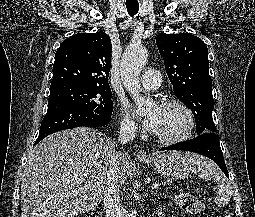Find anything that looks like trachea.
<instances>
[{
    "instance_id": "3493384b",
    "label": "trachea",
    "mask_w": 255,
    "mask_h": 217,
    "mask_svg": "<svg viewBox=\"0 0 255 217\" xmlns=\"http://www.w3.org/2000/svg\"><path fill=\"white\" fill-rule=\"evenodd\" d=\"M126 8L130 16H134L139 10L138 3H126Z\"/></svg>"
}]
</instances>
